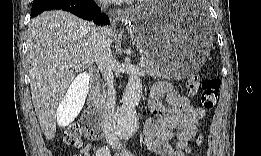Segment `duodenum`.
<instances>
[{
	"instance_id": "1",
	"label": "duodenum",
	"mask_w": 261,
	"mask_h": 156,
	"mask_svg": "<svg viewBox=\"0 0 261 156\" xmlns=\"http://www.w3.org/2000/svg\"><path fill=\"white\" fill-rule=\"evenodd\" d=\"M98 80H99L98 75H95L94 81H95L96 85H97ZM90 107H91L90 110H88L85 115V122L87 124H89L93 120L94 115H96L102 111V102L100 101V99L96 93H94L91 96Z\"/></svg>"
}]
</instances>
